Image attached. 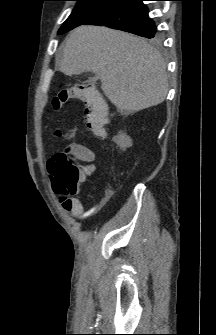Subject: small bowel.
Masks as SVG:
<instances>
[{"label":"small bowel","instance_id":"1","mask_svg":"<svg viewBox=\"0 0 216 335\" xmlns=\"http://www.w3.org/2000/svg\"><path fill=\"white\" fill-rule=\"evenodd\" d=\"M56 135L58 137L73 138L75 136V132L70 131L67 133H62L61 131H57ZM67 148L70 150L71 155L73 157H75L76 159L84 163V165H91L93 172L96 170L97 157H96L95 151L92 148L79 144V143H71L67 146ZM48 171L51 177V169L49 166H48ZM59 200L63 204L65 199L59 195ZM74 201H76L79 204V207L73 210L74 216L78 218H85L89 216V212L84 211V208L81 202L77 199H74Z\"/></svg>","mask_w":216,"mask_h":335}]
</instances>
